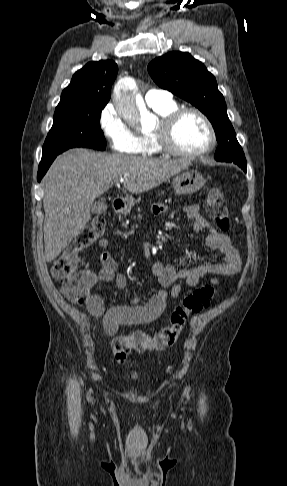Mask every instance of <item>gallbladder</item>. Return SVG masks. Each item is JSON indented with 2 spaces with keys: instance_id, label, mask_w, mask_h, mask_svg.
Masks as SVG:
<instances>
[{
  "instance_id": "bac80fb5",
  "label": "gallbladder",
  "mask_w": 287,
  "mask_h": 486,
  "mask_svg": "<svg viewBox=\"0 0 287 486\" xmlns=\"http://www.w3.org/2000/svg\"><path fill=\"white\" fill-rule=\"evenodd\" d=\"M107 210V205L104 201H98V202H95L92 207H91V212L93 214H97V215H100V214H103L105 213Z\"/></svg>"
}]
</instances>
